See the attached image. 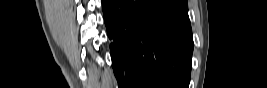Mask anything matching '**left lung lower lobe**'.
<instances>
[{"label":"left lung lower lobe","mask_w":267,"mask_h":88,"mask_svg":"<svg viewBox=\"0 0 267 88\" xmlns=\"http://www.w3.org/2000/svg\"><path fill=\"white\" fill-rule=\"evenodd\" d=\"M119 88H188L187 0H102Z\"/></svg>","instance_id":"obj_1"}]
</instances>
